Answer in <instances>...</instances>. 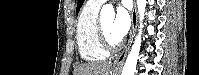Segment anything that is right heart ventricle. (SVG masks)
Here are the masks:
<instances>
[{
  "mask_svg": "<svg viewBox=\"0 0 199 75\" xmlns=\"http://www.w3.org/2000/svg\"><path fill=\"white\" fill-rule=\"evenodd\" d=\"M98 11L99 7L91 6L88 3L82 10L76 26L79 54L82 59L88 62L102 61L108 55L97 34Z\"/></svg>",
  "mask_w": 199,
  "mask_h": 75,
  "instance_id": "e07e8e85",
  "label": "right heart ventricle"
}]
</instances>
